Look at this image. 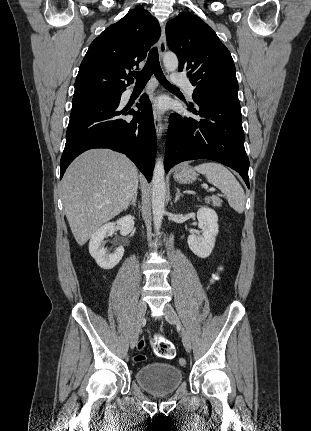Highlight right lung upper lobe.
<instances>
[{
    "instance_id": "right-lung-upper-lobe-1",
    "label": "right lung upper lobe",
    "mask_w": 311,
    "mask_h": 431,
    "mask_svg": "<svg viewBox=\"0 0 311 431\" xmlns=\"http://www.w3.org/2000/svg\"><path fill=\"white\" fill-rule=\"evenodd\" d=\"M160 33L157 20L148 11L132 9L91 43L79 68L74 95L125 91L133 82L128 72L146 58Z\"/></svg>"
}]
</instances>
